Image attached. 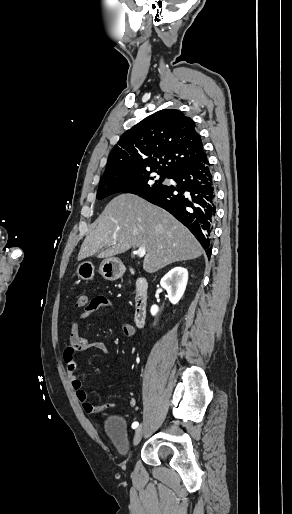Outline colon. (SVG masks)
Here are the masks:
<instances>
[{
    "mask_svg": "<svg viewBox=\"0 0 292 514\" xmlns=\"http://www.w3.org/2000/svg\"><path fill=\"white\" fill-rule=\"evenodd\" d=\"M90 308L89 304V297L87 292L81 291L77 294L76 297V304L75 309L76 310H88Z\"/></svg>",
    "mask_w": 292,
    "mask_h": 514,
    "instance_id": "obj_1",
    "label": "colon"
}]
</instances>
